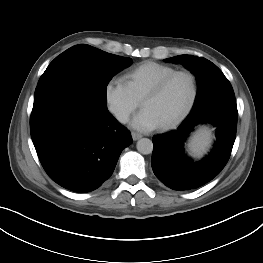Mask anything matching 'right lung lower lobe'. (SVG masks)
Listing matches in <instances>:
<instances>
[{
	"instance_id": "obj_1",
	"label": "right lung lower lobe",
	"mask_w": 263,
	"mask_h": 263,
	"mask_svg": "<svg viewBox=\"0 0 263 263\" xmlns=\"http://www.w3.org/2000/svg\"><path fill=\"white\" fill-rule=\"evenodd\" d=\"M31 137L49 177L80 193L100 187L113 173L131 133L110 114L76 93L34 103Z\"/></svg>"
}]
</instances>
